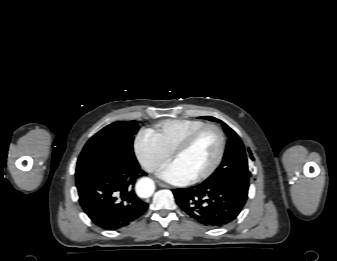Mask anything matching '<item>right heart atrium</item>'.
<instances>
[{"label":"right heart atrium","mask_w":337,"mask_h":261,"mask_svg":"<svg viewBox=\"0 0 337 261\" xmlns=\"http://www.w3.org/2000/svg\"><path fill=\"white\" fill-rule=\"evenodd\" d=\"M134 150L140 164L148 172L157 171L170 159L171 155L147 130L141 131L136 136Z\"/></svg>","instance_id":"1"}]
</instances>
